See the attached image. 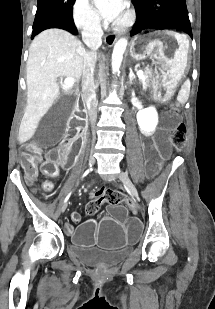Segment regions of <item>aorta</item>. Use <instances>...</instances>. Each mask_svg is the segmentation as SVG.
Masks as SVG:
<instances>
[{"label": "aorta", "mask_w": 215, "mask_h": 309, "mask_svg": "<svg viewBox=\"0 0 215 309\" xmlns=\"http://www.w3.org/2000/svg\"><path fill=\"white\" fill-rule=\"evenodd\" d=\"M127 42H128L127 38H119V40H117V42H115L114 44V48L112 52V62H111L113 74H115V72H118L121 66V62H122L123 54L126 50Z\"/></svg>", "instance_id": "1"}]
</instances>
